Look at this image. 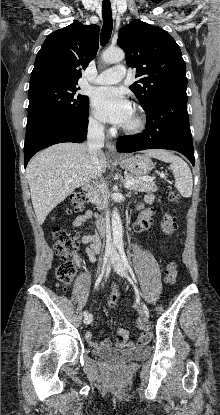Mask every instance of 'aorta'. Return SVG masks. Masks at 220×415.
Here are the masks:
<instances>
[{
	"instance_id": "obj_1",
	"label": "aorta",
	"mask_w": 220,
	"mask_h": 415,
	"mask_svg": "<svg viewBox=\"0 0 220 415\" xmlns=\"http://www.w3.org/2000/svg\"><path fill=\"white\" fill-rule=\"evenodd\" d=\"M103 61L106 63H118L125 58V53L119 48H108L102 54ZM112 234L115 245L123 243V229L121 218L117 209L112 212Z\"/></svg>"
}]
</instances>
